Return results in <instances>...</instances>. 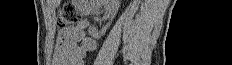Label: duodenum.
Masks as SVG:
<instances>
[{"instance_id":"duodenum-1","label":"duodenum","mask_w":232,"mask_h":65,"mask_svg":"<svg viewBox=\"0 0 232 65\" xmlns=\"http://www.w3.org/2000/svg\"><path fill=\"white\" fill-rule=\"evenodd\" d=\"M79 7L81 8V10L86 13L87 12V4L84 2L79 3Z\"/></svg>"}]
</instances>
